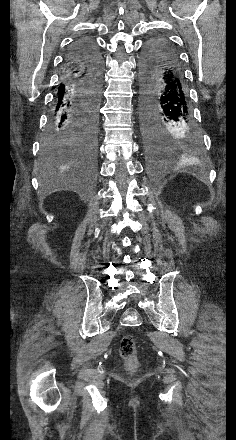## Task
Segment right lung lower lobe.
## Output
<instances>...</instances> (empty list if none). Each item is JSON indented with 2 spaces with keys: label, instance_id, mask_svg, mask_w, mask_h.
<instances>
[{
  "label": "right lung lower lobe",
  "instance_id": "1",
  "mask_svg": "<svg viewBox=\"0 0 236 440\" xmlns=\"http://www.w3.org/2000/svg\"><path fill=\"white\" fill-rule=\"evenodd\" d=\"M103 58L96 43L88 37L74 42L69 51L61 83L57 86L48 134L65 132L77 136L85 130L89 119L90 103L84 96L89 84L102 83ZM95 144L86 148L95 153Z\"/></svg>",
  "mask_w": 236,
  "mask_h": 440
}]
</instances>
